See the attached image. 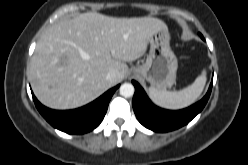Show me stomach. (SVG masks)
Wrapping results in <instances>:
<instances>
[{
  "label": "stomach",
  "mask_w": 248,
  "mask_h": 165,
  "mask_svg": "<svg viewBox=\"0 0 248 165\" xmlns=\"http://www.w3.org/2000/svg\"><path fill=\"white\" fill-rule=\"evenodd\" d=\"M148 42L150 49L146 61L136 66L133 72L158 90L171 87L176 82L178 62L170 48L168 29L156 31Z\"/></svg>",
  "instance_id": "1"
}]
</instances>
